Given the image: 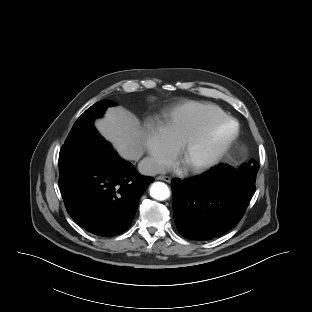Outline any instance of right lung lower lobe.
Wrapping results in <instances>:
<instances>
[{"instance_id": "98d812e1", "label": "right lung lower lobe", "mask_w": 312, "mask_h": 312, "mask_svg": "<svg viewBox=\"0 0 312 312\" xmlns=\"http://www.w3.org/2000/svg\"><path fill=\"white\" fill-rule=\"evenodd\" d=\"M154 178L141 176L107 143L93 152L59 187L69 215L87 231L112 237L128 229L139 199Z\"/></svg>"}]
</instances>
